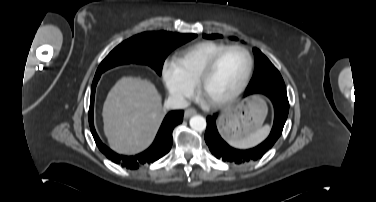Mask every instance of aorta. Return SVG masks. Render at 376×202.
Here are the masks:
<instances>
[{
  "label": "aorta",
  "instance_id": "1",
  "mask_svg": "<svg viewBox=\"0 0 376 202\" xmlns=\"http://www.w3.org/2000/svg\"><path fill=\"white\" fill-rule=\"evenodd\" d=\"M190 127L195 130V131H198V132H202L206 129V120L204 117L200 116V115H195L193 116L190 121Z\"/></svg>",
  "mask_w": 376,
  "mask_h": 202
}]
</instances>
